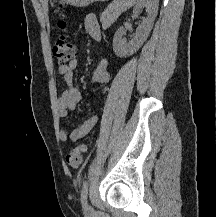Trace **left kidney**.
I'll return each instance as SVG.
<instances>
[{"instance_id": "5707ae66", "label": "left kidney", "mask_w": 216, "mask_h": 217, "mask_svg": "<svg viewBox=\"0 0 216 217\" xmlns=\"http://www.w3.org/2000/svg\"><path fill=\"white\" fill-rule=\"evenodd\" d=\"M159 0H139L133 10V15L138 16L143 8L148 12L147 18L137 28L134 38L127 42L123 39L124 29L119 28L113 39V51L118 57H127L136 52L146 41L153 27L158 11Z\"/></svg>"}]
</instances>
